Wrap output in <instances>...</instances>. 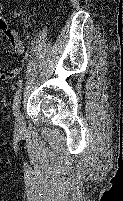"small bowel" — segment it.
Segmentation results:
<instances>
[{"label":"small bowel","instance_id":"1","mask_svg":"<svg viewBox=\"0 0 123 201\" xmlns=\"http://www.w3.org/2000/svg\"><path fill=\"white\" fill-rule=\"evenodd\" d=\"M1 11H2V7L0 5V14H1ZM0 30L9 38L15 53L19 57V62L20 63L23 62L25 60L27 54H26L24 45H23L21 39L19 38L16 30L11 28L7 22H5L1 19H0ZM19 71H20V68L17 66L15 68H13L11 71H9L5 74H2V77L7 78V79L14 77L19 73Z\"/></svg>","mask_w":123,"mask_h":201}]
</instances>
